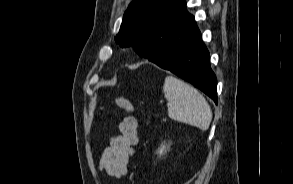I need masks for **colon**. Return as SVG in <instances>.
I'll use <instances>...</instances> for the list:
<instances>
[{"label":"colon","instance_id":"colon-1","mask_svg":"<svg viewBox=\"0 0 293 184\" xmlns=\"http://www.w3.org/2000/svg\"><path fill=\"white\" fill-rule=\"evenodd\" d=\"M114 102L117 106H119L121 109L127 111V112H134L135 108L133 104L126 98L122 96H115Z\"/></svg>","mask_w":293,"mask_h":184}]
</instances>
